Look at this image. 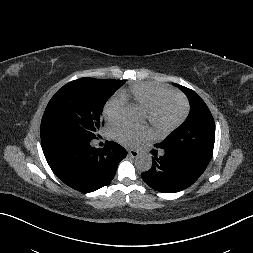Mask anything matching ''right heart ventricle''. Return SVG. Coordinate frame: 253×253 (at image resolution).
<instances>
[{
	"label": "right heart ventricle",
	"instance_id": "1",
	"mask_svg": "<svg viewBox=\"0 0 253 253\" xmlns=\"http://www.w3.org/2000/svg\"><path fill=\"white\" fill-rule=\"evenodd\" d=\"M172 92L165 86L137 83L124 89L120 94L127 100L131 99L145 110L161 95Z\"/></svg>",
	"mask_w": 253,
	"mask_h": 253
}]
</instances>
